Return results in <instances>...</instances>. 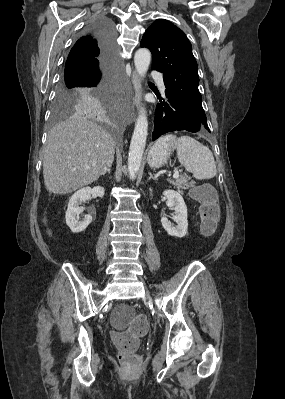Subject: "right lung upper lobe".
<instances>
[{
    "label": "right lung upper lobe",
    "mask_w": 285,
    "mask_h": 399,
    "mask_svg": "<svg viewBox=\"0 0 285 399\" xmlns=\"http://www.w3.org/2000/svg\"><path fill=\"white\" fill-rule=\"evenodd\" d=\"M101 56L99 41L93 32H86L73 46L65 67L79 62H97Z\"/></svg>",
    "instance_id": "right-lung-upper-lobe-1"
}]
</instances>
